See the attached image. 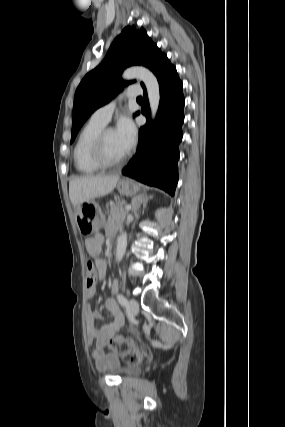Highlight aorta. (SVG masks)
Here are the masks:
<instances>
[{
    "mask_svg": "<svg viewBox=\"0 0 285 427\" xmlns=\"http://www.w3.org/2000/svg\"><path fill=\"white\" fill-rule=\"evenodd\" d=\"M122 77L126 80L136 78L145 84L151 109V116L152 118H155L160 102L159 84L155 75L145 67L134 66L126 69ZM126 248L127 233L123 232L117 239L115 250L116 261L120 262L123 259Z\"/></svg>",
    "mask_w": 285,
    "mask_h": 427,
    "instance_id": "obj_1",
    "label": "aorta"
}]
</instances>
